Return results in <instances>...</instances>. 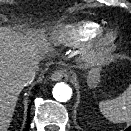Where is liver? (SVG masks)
<instances>
[{
	"instance_id": "liver-1",
	"label": "liver",
	"mask_w": 131,
	"mask_h": 131,
	"mask_svg": "<svg viewBox=\"0 0 131 131\" xmlns=\"http://www.w3.org/2000/svg\"><path fill=\"white\" fill-rule=\"evenodd\" d=\"M44 39L40 35L26 36L0 28V131H7L23 89L19 75L38 66L44 53Z\"/></svg>"
}]
</instances>
